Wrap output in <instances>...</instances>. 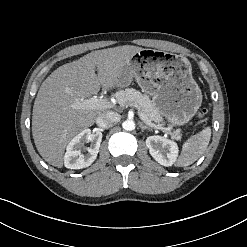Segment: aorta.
Wrapping results in <instances>:
<instances>
[{
    "label": "aorta",
    "instance_id": "762f6f07",
    "mask_svg": "<svg viewBox=\"0 0 247 247\" xmlns=\"http://www.w3.org/2000/svg\"><path fill=\"white\" fill-rule=\"evenodd\" d=\"M123 128L127 131H132L135 129V123L132 120H126L123 122Z\"/></svg>",
    "mask_w": 247,
    "mask_h": 247
}]
</instances>
